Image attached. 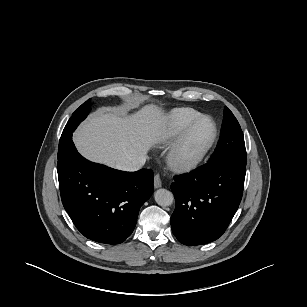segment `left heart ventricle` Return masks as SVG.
Masks as SVG:
<instances>
[{
  "instance_id": "left-heart-ventricle-1",
  "label": "left heart ventricle",
  "mask_w": 307,
  "mask_h": 307,
  "mask_svg": "<svg viewBox=\"0 0 307 307\" xmlns=\"http://www.w3.org/2000/svg\"><path fill=\"white\" fill-rule=\"evenodd\" d=\"M213 131L214 128L211 121H200L185 142L180 152V158L189 159L199 154L211 140Z\"/></svg>"
}]
</instances>
